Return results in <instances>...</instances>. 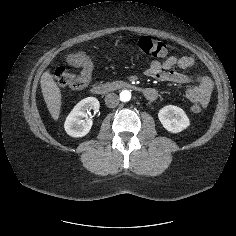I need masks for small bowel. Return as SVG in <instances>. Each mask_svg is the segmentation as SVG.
Segmentation results:
<instances>
[{"label":"small bowel","instance_id":"c3829d8e","mask_svg":"<svg viewBox=\"0 0 236 236\" xmlns=\"http://www.w3.org/2000/svg\"><path fill=\"white\" fill-rule=\"evenodd\" d=\"M194 64L195 60L191 56L173 55L162 62L158 60L152 61L145 69V74L163 82L184 85L190 83L192 79L176 70V68L186 70L192 68ZM194 81L195 85L186 89L185 96L191 103L206 107L210 102L213 91V82L206 75H197L195 76ZM148 89L155 92V95L149 99H156L157 91L152 88Z\"/></svg>","mask_w":236,"mask_h":236}]
</instances>
